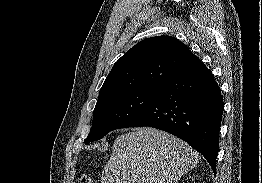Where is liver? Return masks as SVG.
<instances>
[{"instance_id": "obj_1", "label": "liver", "mask_w": 262, "mask_h": 183, "mask_svg": "<svg viewBox=\"0 0 262 183\" xmlns=\"http://www.w3.org/2000/svg\"><path fill=\"white\" fill-rule=\"evenodd\" d=\"M198 162V153L183 140L156 128H136L114 141L101 183H177Z\"/></svg>"}]
</instances>
